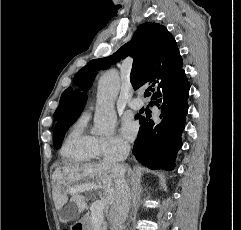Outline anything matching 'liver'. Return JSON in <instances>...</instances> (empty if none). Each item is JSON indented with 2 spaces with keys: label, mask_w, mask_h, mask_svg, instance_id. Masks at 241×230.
Segmentation results:
<instances>
[{
  "label": "liver",
  "mask_w": 241,
  "mask_h": 230,
  "mask_svg": "<svg viewBox=\"0 0 241 230\" xmlns=\"http://www.w3.org/2000/svg\"><path fill=\"white\" fill-rule=\"evenodd\" d=\"M125 171L126 168L123 166V172L125 173ZM113 178L111 167L104 165L103 162L57 169L53 175V179L57 183L53 193L56 209L61 216L67 212V209L63 207L68 202L67 194L70 193V201L77 206L79 213L83 212L87 204L82 193L93 188L98 189L102 200L113 204L116 192ZM62 221L67 222L68 220L62 219Z\"/></svg>",
  "instance_id": "6515ba94"
}]
</instances>
